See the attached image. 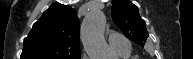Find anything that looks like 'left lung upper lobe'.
I'll use <instances>...</instances> for the list:
<instances>
[{
  "mask_svg": "<svg viewBox=\"0 0 193 59\" xmlns=\"http://www.w3.org/2000/svg\"><path fill=\"white\" fill-rule=\"evenodd\" d=\"M111 12L114 23L124 35L143 47L149 34L138 8L129 0H113Z\"/></svg>",
  "mask_w": 193,
  "mask_h": 59,
  "instance_id": "obj_1",
  "label": "left lung upper lobe"
}]
</instances>
